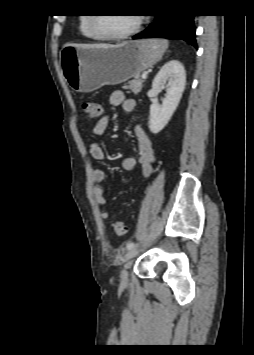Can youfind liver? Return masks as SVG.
I'll list each match as a JSON object with an SVG mask.
<instances>
[{
	"instance_id": "6515ba94",
	"label": "liver",
	"mask_w": 254,
	"mask_h": 355,
	"mask_svg": "<svg viewBox=\"0 0 254 355\" xmlns=\"http://www.w3.org/2000/svg\"><path fill=\"white\" fill-rule=\"evenodd\" d=\"M72 46L80 47V48H90V47H114L108 44H73Z\"/></svg>"
}]
</instances>
